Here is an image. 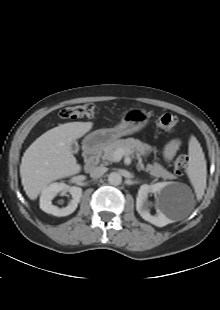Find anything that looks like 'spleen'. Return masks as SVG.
I'll return each mask as SVG.
<instances>
[{"label":"spleen","instance_id":"1","mask_svg":"<svg viewBox=\"0 0 220 310\" xmlns=\"http://www.w3.org/2000/svg\"><path fill=\"white\" fill-rule=\"evenodd\" d=\"M187 175L195 190L197 199L200 200L206 188L207 167L200 143L194 136H192L189 141Z\"/></svg>","mask_w":220,"mask_h":310}]
</instances>
